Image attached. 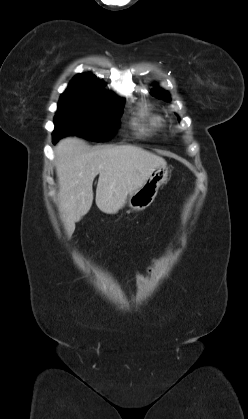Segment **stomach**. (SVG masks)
I'll list each match as a JSON object with an SVG mask.
<instances>
[{
  "label": "stomach",
  "instance_id": "1",
  "mask_svg": "<svg viewBox=\"0 0 248 419\" xmlns=\"http://www.w3.org/2000/svg\"><path fill=\"white\" fill-rule=\"evenodd\" d=\"M168 168L161 166L155 169L144 184L130 194L127 203L133 210H143L154 201L159 187L167 180Z\"/></svg>",
  "mask_w": 248,
  "mask_h": 419
}]
</instances>
